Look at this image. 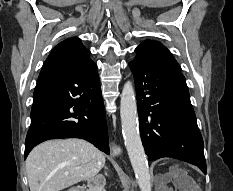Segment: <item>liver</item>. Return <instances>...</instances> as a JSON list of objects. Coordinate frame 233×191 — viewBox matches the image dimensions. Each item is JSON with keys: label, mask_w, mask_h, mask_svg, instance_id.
Here are the masks:
<instances>
[{"label": "liver", "mask_w": 233, "mask_h": 191, "mask_svg": "<svg viewBox=\"0 0 233 191\" xmlns=\"http://www.w3.org/2000/svg\"><path fill=\"white\" fill-rule=\"evenodd\" d=\"M104 164V154L85 140L44 142L36 146L26 160L30 191L63 190L95 177Z\"/></svg>", "instance_id": "liver-1"}]
</instances>
